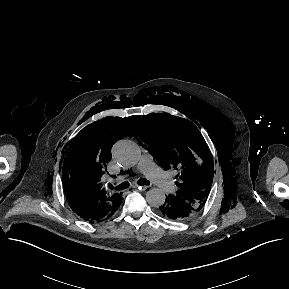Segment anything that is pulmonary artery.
<instances>
[{
	"instance_id": "pulmonary-artery-1",
	"label": "pulmonary artery",
	"mask_w": 289,
	"mask_h": 289,
	"mask_svg": "<svg viewBox=\"0 0 289 289\" xmlns=\"http://www.w3.org/2000/svg\"><path fill=\"white\" fill-rule=\"evenodd\" d=\"M135 171L145 174L164 191H169L174 188V184L167 173L154 163L153 157L148 152L142 154Z\"/></svg>"
}]
</instances>
